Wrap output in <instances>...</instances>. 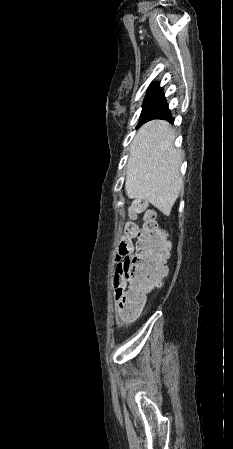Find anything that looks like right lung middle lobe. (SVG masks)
Segmentation results:
<instances>
[{"mask_svg":"<svg viewBox=\"0 0 233 449\" xmlns=\"http://www.w3.org/2000/svg\"><path fill=\"white\" fill-rule=\"evenodd\" d=\"M167 109L168 105L166 104L162 91L148 93L144 100L139 125Z\"/></svg>","mask_w":233,"mask_h":449,"instance_id":"1","label":"right lung middle lobe"}]
</instances>
